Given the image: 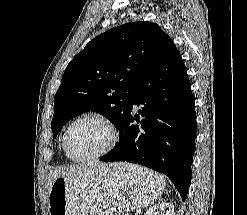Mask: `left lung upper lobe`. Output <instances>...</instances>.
Wrapping results in <instances>:
<instances>
[{
  "label": "left lung upper lobe",
  "mask_w": 247,
  "mask_h": 215,
  "mask_svg": "<svg viewBox=\"0 0 247 215\" xmlns=\"http://www.w3.org/2000/svg\"><path fill=\"white\" fill-rule=\"evenodd\" d=\"M171 38L155 23L131 22L91 40L66 67L54 98L53 137L71 118L88 111L118 129L141 81L158 64Z\"/></svg>",
  "instance_id": "obj_1"
}]
</instances>
